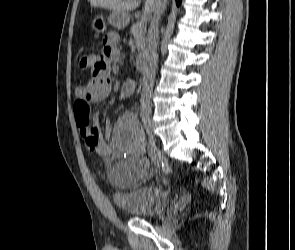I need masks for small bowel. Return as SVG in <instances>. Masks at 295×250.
I'll return each instance as SVG.
<instances>
[{"mask_svg": "<svg viewBox=\"0 0 295 250\" xmlns=\"http://www.w3.org/2000/svg\"><path fill=\"white\" fill-rule=\"evenodd\" d=\"M119 37L109 33L103 39V47L92 54L93 65L90 79L75 90L76 101L86 100L96 104L105 100L112 91L111 65L120 57L118 48ZM134 91V82L127 81L122 87L121 97L127 98ZM79 133L85 147L99 155L111 154L116 162L110 167L108 175L112 184L125 189L133 185L149 168V162L144 158L142 131L136 115L125 112L114 125L106 121L101 131L97 114L92 123ZM105 139L111 140L108 145Z\"/></svg>", "mask_w": 295, "mask_h": 250, "instance_id": "obj_1", "label": "small bowel"}]
</instances>
